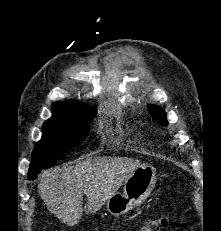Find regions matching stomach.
I'll return each mask as SVG.
<instances>
[{
    "mask_svg": "<svg viewBox=\"0 0 221 231\" xmlns=\"http://www.w3.org/2000/svg\"><path fill=\"white\" fill-rule=\"evenodd\" d=\"M156 169L150 165L139 166L124 182L123 192H117L106 202L107 211L121 216L140 205L156 184Z\"/></svg>",
    "mask_w": 221,
    "mask_h": 231,
    "instance_id": "0dacf381",
    "label": "stomach"
}]
</instances>
